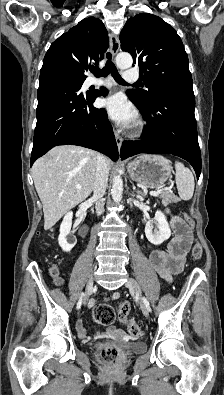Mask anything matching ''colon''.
<instances>
[{"instance_id": "1", "label": "colon", "mask_w": 224, "mask_h": 395, "mask_svg": "<svg viewBox=\"0 0 224 395\" xmlns=\"http://www.w3.org/2000/svg\"><path fill=\"white\" fill-rule=\"evenodd\" d=\"M184 222L186 228H190L192 221L187 214H184ZM203 254V249L200 243L195 242L192 246L191 255L194 260H200ZM52 276H57L59 270L57 267H52L50 270ZM129 304L124 302L117 308L109 304H100L93 309L92 318L95 323L100 325H111L116 318L127 326L128 332L133 337H140L143 333L141 326L129 316ZM101 360L108 363H116L119 360V352L115 348L103 347L99 351Z\"/></svg>"}]
</instances>
